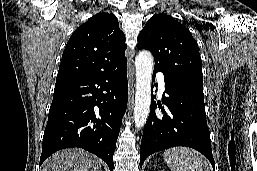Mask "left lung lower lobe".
Returning a JSON list of instances; mask_svg holds the SVG:
<instances>
[{
  "label": "left lung lower lobe",
  "mask_w": 257,
  "mask_h": 171,
  "mask_svg": "<svg viewBox=\"0 0 257 171\" xmlns=\"http://www.w3.org/2000/svg\"><path fill=\"white\" fill-rule=\"evenodd\" d=\"M158 71L164 74L165 92L162 103L165 107L158 105L161 113H156L155 96H152L151 110L140 146V167L154 152L186 146L201 152L214 168L203 88L158 67H154L153 80Z\"/></svg>",
  "instance_id": "1"
}]
</instances>
